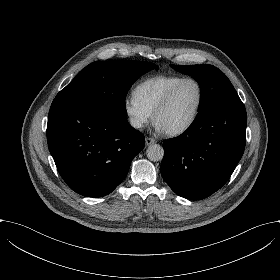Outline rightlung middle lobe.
Returning a JSON list of instances; mask_svg holds the SVG:
<instances>
[{
	"mask_svg": "<svg viewBox=\"0 0 280 280\" xmlns=\"http://www.w3.org/2000/svg\"><path fill=\"white\" fill-rule=\"evenodd\" d=\"M158 66L141 61H97L82 69L54 101H76L127 119L125 97L131 85Z\"/></svg>",
	"mask_w": 280,
	"mask_h": 280,
	"instance_id": "1",
	"label": "right lung middle lobe"
}]
</instances>
